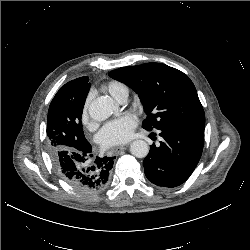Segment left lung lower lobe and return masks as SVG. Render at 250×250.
Wrapping results in <instances>:
<instances>
[{
	"label": "left lung lower lobe",
	"mask_w": 250,
	"mask_h": 250,
	"mask_svg": "<svg viewBox=\"0 0 250 250\" xmlns=\"http://www.w3.org/2000/svg\"><path fill=\"white\" fill-rule=\"evenodd\" d=\"M205 126L173 127L160 130V146L153 144L144 159L147 179L157 186L176 187L196 168L204 145Z\"/></svg>",
	"instance_id": "0a47b994"
}]
</instances>
